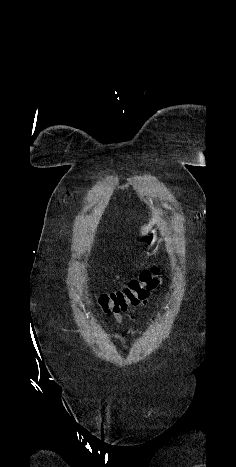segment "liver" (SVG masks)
I'll use <instances>...</instances> for the list:
<instances>
[{
  "mask_svg": "<svg viewBox=\"0 0 236 467\" xmlns=\"http://www.w3.org/2000/svg\"><path fill=\"white\" fill-rule=\"evenodd\" d=\"M158 220V218H154L152 219L149 224L147 225H144L142 228H141V234L142 235H146L152 228V225Z\"/></svg>",
  "mask_w": 236,
  "mask_h": 467,
  "instance_id": "liver-1",
  "label": "liver"
}]
</instances>
